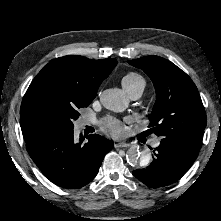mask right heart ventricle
<instances>
[{
	"instance_id": "right-heart-ventricle-1",
	"label": "right heart ventricle",
	"mask_w": 221,
	"mask_h": 221,
	"mask_svg": "<svg viewBox=\"0 0 221 221\" xmlns=\"http://www.w3.org/2000/svg\"><path fill=\"white\" fill-rule=\"evenodd\" d=\"M122 86L124 87L125 90L135 87V86L145 87V80L138 73L131 72V73L126 74L123 77Z\"/></svg>"
}]
</instances>
